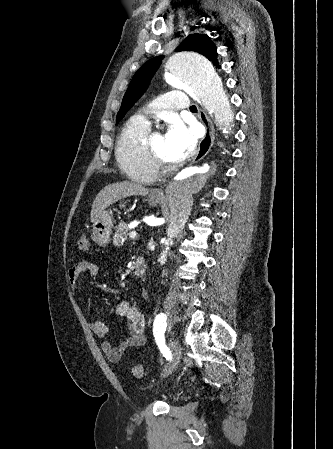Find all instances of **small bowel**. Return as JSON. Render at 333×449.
<instances>
[{
    "label": "small bowel",
    "mask_w": 333,
    "mask_h": 449,
    "mask_svg": "<svg viewBox=\"0 0 333 449\" xmlns=\"http://www.w3.org/2000/svg\"><path fill=\"white\" fill-rule=\"evenodd\" d=\"M86 272L97 275L99 268L96 264L82 260L69 270V283L72 289L77 288L79 278ZM117 315L124 318L128 325V334L114 346L109 340H103L101 349L111 362H118L129 349L142 346L145 343L146 321L142 312L129 301H120L115 307ZM92 332L99 338L108 334V326L102 321H93L90 325Z\"/></svg>",
    "instance_id": "obj_1"
}]
</instances>
